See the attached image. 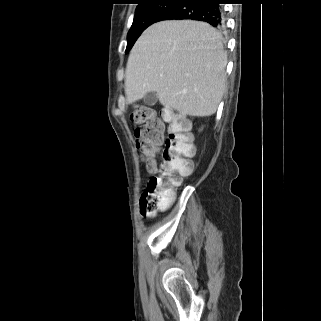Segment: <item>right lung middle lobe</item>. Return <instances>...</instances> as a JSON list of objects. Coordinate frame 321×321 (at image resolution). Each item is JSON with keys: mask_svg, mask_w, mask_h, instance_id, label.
Returning <instances> with one entry per match:
<instances>
[{"mask_svg": "<svg viewBox=\"0 0 321 321\" xmlns=\"http://www.w3.org/2000/svg\"><path fill=\"white\" fill-rule=\"evenodd\" d=\"M177 4L176 0H152L136 8L132 26L127 35L126 53L132 48L140 34L159 17Z\"/></svg>", "mask_w": 321, "mask_h": 321, "instance_id": "obj_1", "label": "right lung middle lobe"}]
</instances>
